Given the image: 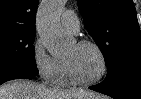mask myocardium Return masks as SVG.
<instances>
[{
    "label": "myocardium",
    "mask_w": 141,
    "mask_h": 99,
    "mask_svg": "<svg viewBox=\"0 0 141 99\" xmlns=\"http://www.w3.org/2000/svg\"><path fill=\"white\" fill-rule=\"evenodd\" d=\"M76 45L79 47L93 48L97 52V54L99 55L102 68H101L100 74L96 78H94L92 80H82L76 76V74L72 68L71 63L68 60H64L65 64H66V68H67V73H68V76H69L71 82L75 85L85 86V87L93 86V85L99 83L105 77L107 70H108L107 58L105 56L104 51L102 50V48L98 44H96L95 42L90 41V40H80L79 42L76 43Z\"/></svg>",
    "instance_id": "f54148a6"
}]
</instances>
